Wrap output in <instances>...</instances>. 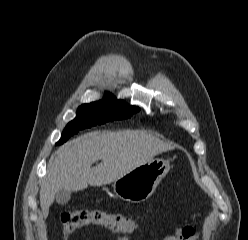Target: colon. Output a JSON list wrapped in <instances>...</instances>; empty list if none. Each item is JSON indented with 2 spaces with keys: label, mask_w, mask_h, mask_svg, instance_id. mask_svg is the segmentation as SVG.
Returning <instances> with one entry per match:
<instances>
[{
  "label": "colon",
  "mask_w": 248,
  "mask_h": 240,
  "mask_svg": "<svg viewBox=\"0 0 248 240\" xmlns=\"http://www.w3.org/2000/svg\"><path fill=\"white\" fill-rule=\"evenodd\" d=\"M142 221V216L112 214L100 209H66L60 214L61 229L65 238L88 225L104 226L116 233H132L140 227Z\"/></svg>",
  "instance_id": "5ec220e1"
}]
</instances>
